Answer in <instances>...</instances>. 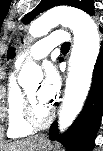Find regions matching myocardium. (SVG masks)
<instances>
[{"instance_id":"1","label":"myocardium","mask_w":103,"mask_h":151,"mask_svg":"<svg viewBox=\"0 0 103 151\" xmlns=\"http://www.w3.org/2000/svg\"><path fill=\"white\" fill-rule=\"evenodd\" d=\"M53 116L54 109L50 107L47 116L44 119H38L34 114V107L26 89L23 90V117L29 127L33 129L46 128L51 123Z\"/></svg>"}]
</instances>
